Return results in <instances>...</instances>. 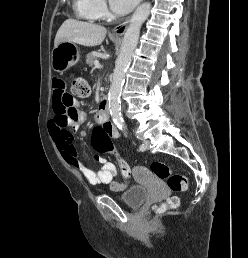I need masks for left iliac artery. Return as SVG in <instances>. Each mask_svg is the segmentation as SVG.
Here are the masks:
<instances>
[{"instance_id":"obj_1","label":"left iliac artery","mask_w":248,"mask_h":258,"mask_svg":"<svg viewBox=\"0 0 248 258\" xmlns=\"http://www.w3.org/2000/svg\"><path fill=\"white\" fill-rule=\"evenodd\" d=\"M139 150H140V151H144V145H143V144L140 145Z\"/></svg>"}]
</instances>
